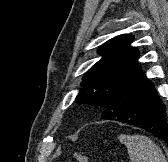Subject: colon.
I'll return each instance as SVG.
<instances>
[{"label":"colon","mask_w":168,"mask_h":162,"mask_svg":"<svg viewBox=\"0 0 168 162\" xmlns=\"http://www.w3.org/2000/svg\"><path fill=\"white\" fill-rule=\"evenodd\" d=\"M74 162H89L88 157L82 153L74 154Z\"/></svg>","instance_id":"obj_1"}]
</instances>
